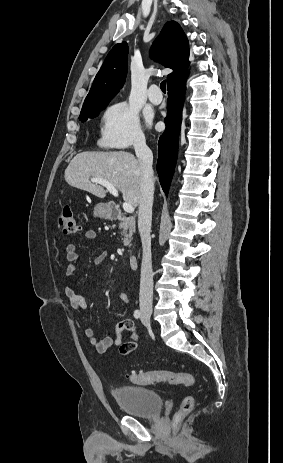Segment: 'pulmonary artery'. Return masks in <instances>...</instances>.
I'll list each match as a JSON object with an SVG mask.
<instances>
[{"mask_svg": "<svg viewBox=\"0 0 283 463\" xmlns=\"http://www.w3.org/2000/svg\"><path fill=\"white\" fill-rule=\"evenodd\" d=\"M148 99L154 105H158L162 101L159 87L156 84L150 86L148 90Z\"/></svg>", "mask_w": 283, "mask_h": 463, "instance_id": "1", "label": "pulmonary artery"}]
</instances>
